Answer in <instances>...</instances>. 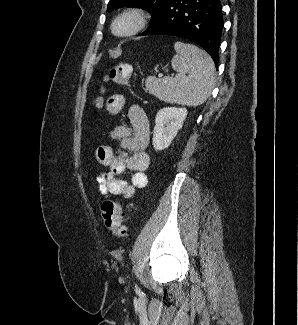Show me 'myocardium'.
Here are the masks:
<instances>
[{
    "mask_svg": "<svg viewBox=\"0 0 298 325\" xmlns=\"http://www.w3.org/2000/svg\"><path fill=\"white\" fill-rule=\"evenodd\" d=\"M142 26V18L137 13L129 12L117 19L112 31L119 38H130L140 32Z\"/></svg>",
    "mask_w": 298,
    "mask_h": 325,
    "instance_id": "myocardium-1",
    "label": "myocardium"
}]
</instances>
